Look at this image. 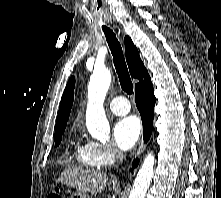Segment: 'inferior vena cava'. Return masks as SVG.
<instances>
[{
  "instance_id": "obj_1",
  "label": "inferior vena cava",
  "mask_w": 221,
  "mask_h": 198,
  "mask_svg": "<svg viewBox=\"0 0 221 198\" xmlns=\"http://www.w3.org/2000/svg\"><path fill=\"white\" fill-rule=\"evenodd\" d=\"M116 159L121 161L123 159V153L119 150L116 151Z\"/></svg>"
}]
</instances>
